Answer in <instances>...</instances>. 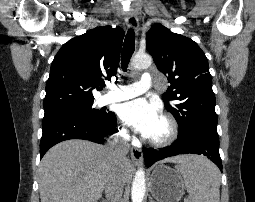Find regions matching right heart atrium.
<instances>
[{
    "instance_id": "1",
    "label": "right heart atrium",
    "mask_w": 255,
    "mask_h": 202,
    "mask_svg": "<svg viewBox=\"0 0 255 202\" xmlns=\"http://www.w3.org/2000/svg\"><path fill=\"white\" fill-rule=\"evenodd\" d=\"M120 134L123 138H128V132L125 128H121Z\"/></svg>"
}]
</instances>
